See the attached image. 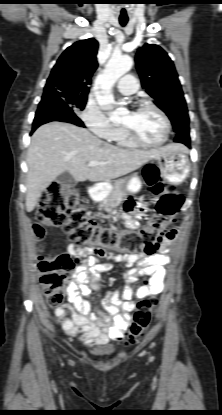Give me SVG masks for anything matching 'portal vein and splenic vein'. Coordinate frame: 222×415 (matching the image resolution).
Instances as JSON below:
<instances>
[{"instance_id": "obj_1", "label": "portal vein and splenic vein", "mask_w": 222, "mask_h": 415, "mask_svg": "<svg viewBox=\"0 0 222 415\" xmlns=\"http://www.w3.org/2000/svg\"><path fill=\"white\" fill-rule=\"evenodd\" d=\"M104 163L98 162V161H90L88 163V166L90 167H94V166H98V165H103Z\"/></svg>"}]
</instances>
